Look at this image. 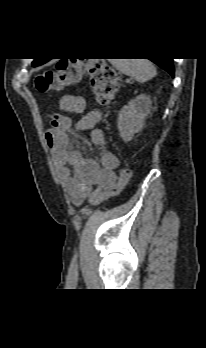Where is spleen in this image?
<instances>
[{
    "label": "spleen",
    "mask_w": 206,
    "mask_h": 348,
    "mask_svg": "<svg viewBox=\"0 0 206 348\" xmlns=\"http://www.w3.org/2000/svg\"><path fill=\"white\" fill-rule=\"evenodd\" d=\"M110 63L121 73L143 83L156 76L157 71L148 59H110Z\"/></svg>",
    "instance_id": "1"
}]
</instances>
